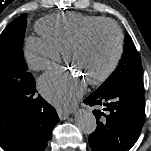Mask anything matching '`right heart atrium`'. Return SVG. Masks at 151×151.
Returning a JSON list of instances; mask_svg holds the SVG:
<instances>
[{
  "label": "right heart atrium",
  "mask_w": 151,
  "mask_h": 151,
  "mask_svg": "<svg viewBox=\"0 0 151 151\" xmlns=\"http://www.w3.org/2000/svg\"><path fill=\"white\" fill-rule=\"evenodd\" d=\"M24 55L29 67L35 71L47 70L60 59V50L42 37L31 36L26 40Z\"/></svg>",
  "instance_id": "1"
}]
</instances>
